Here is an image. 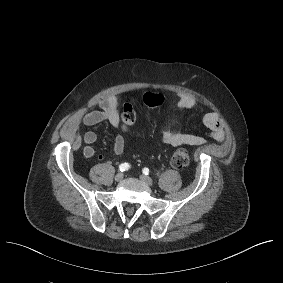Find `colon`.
<instances>
[{
    "mask_svg": "<svg viewBox=\"0 0 283 283\" xmlns=\"http://www.w3.org/2000/svg\"><path fill=\"white\" fill-rule=\"evenodd\" d=\"M143 103L149 108H156L163 104L164 96L157 92H146L136 99H129V101L124 104L122 114H121V130L127 131L130 126L136 122V111L135 104ZM190 156L186 149H177L171 158V163L175 168H183L189 164Z\"/></svg>",
    "mask_w": 283,
    "mask_h": 283,
    "instance_id": "colon-1",
    "label": "colon"
}]
</instances>
